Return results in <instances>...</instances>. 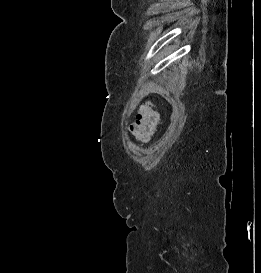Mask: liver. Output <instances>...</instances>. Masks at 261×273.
Listing matches in <instances>:
<instances>
[{
	"label": "liver",
	"mask_w": 261,
	"mask_h": 273,
	"mask_svg": "<svg viewBox=\"0 0 261 273\" xmlns=\"http://www.w3.org/2000/svg\"><path fill=\"white\" fill-rule=\"evenodd\" d=\"M148 105H151V102H147Z\"/></svg>",
	"instance_id": "6515ba94"
}]
</instances>
